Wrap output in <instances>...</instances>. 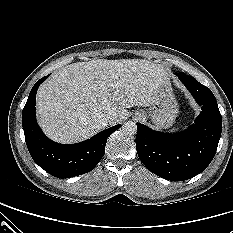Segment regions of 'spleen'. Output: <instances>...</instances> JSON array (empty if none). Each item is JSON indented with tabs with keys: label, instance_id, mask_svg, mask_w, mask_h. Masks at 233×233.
Wrapping results in <instances>:
<instances>
[{
	"label": "spleen",
	"instance_id": "3e777b00",
	"mask_svg": "<svg viewBox=\"0 0 233 233\" xmlns=\"http://www.w3.org/2000/svg\"><path fill=\"white\" fill-rule=\"evenodd\" d=\"M177 130H178V128H177V129H172L171 132H175V131H177Z\"/></svg>",
	"mask_w": 233,
	"mask_h": 233
}]
</instances>
